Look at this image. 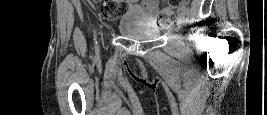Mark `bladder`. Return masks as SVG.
Returning <instances> with one entry per match:
<instances>
[{"label":"bladder","instance_id":"obj_1","mask_svg":"<svg viewBox=\"0 0 267 115\" xmlns=\"http://www.w3.org/2000/svg\"><path fill=\"white\" fill-rule=\"evenodd\" d=\"M119 31L126 37L138 40L154 39L160 35V29L151 24H121Z\"/></svg>","mask_w":267,"mask_h":115}]
</instances>
